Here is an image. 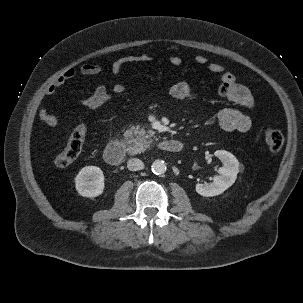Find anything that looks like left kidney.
Listing matches in <instances>:
<instances>
[{
  "instance_id": "5707ae66",
  "label": "left kidney",
  "mask_w": 303,
  "mask_h": 303,
  "mask_svg": "<svg viewBox=\"0 0 303 303\" xmlns=\"http://www.w3.org/2000/svg\"><path fill=\"white\" fill-rule=\"evenodd\" d=\"M214 155L223 163V166L218 170L219 175L214 176L211 183L196 184V192L205 197L222 194L227 188L232 186L239 173V161L232 153L225 150H217Z\"/></svg>"
}]
</instances>
